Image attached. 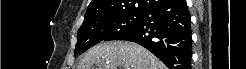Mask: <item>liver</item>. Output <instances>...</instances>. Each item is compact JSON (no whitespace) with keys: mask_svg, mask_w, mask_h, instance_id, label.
Listing matches in <instances>:
<instances>
[{"mask_svg":"<svg viewBox=\"0 0 246 69\" xmlns=\"http://www.w3.org/2000/svg\"><path fill=\"white\" fill-rule=\"evenodd\" d=\"M166 69L165 65L142 46L123 41L100 43L89 49L77 69Z\"/></svg>","mask_w":246,"mask_h":69,"instance_id":"6515ba94","label":"liver"}]
</instances>
